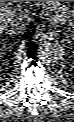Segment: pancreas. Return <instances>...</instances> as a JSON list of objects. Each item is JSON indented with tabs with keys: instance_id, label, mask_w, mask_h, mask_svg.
Wrapping results in <instances>:
<instances>
[{
	"instance_id": "pancreas-1",
	"label": "pancreas",
	"mask_w": 74,
	"mask_h": 122,
	"mask_svg": "<svg viewBox=\"0 0 74 122\" xmlns=\"http://www.w3.org/2000/svg\"><path fill=\"white\" fill-rule=\"evenodd\" d=\"M34 5L54 11L56 14L55 21L61 24H71L73 20V10L60 1H35Z\"/></svg>"
}]
</instances>
